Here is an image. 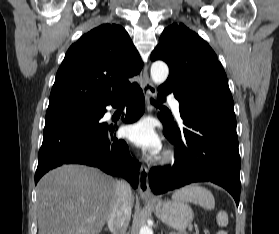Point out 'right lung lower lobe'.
Returning a JSON list of instances; mask_svg holds the SVG:
<instances>
[{
  "label": "right lung lower lobe",
  "mask_w": 279,
  "mask_h": 234,
  "mask_svg": "<svg viewBox=\"0 0 279 234\" xmlns=\"http://www.w3.org/2000/svg\"><path fill=\"white\" fill-rule=\"evenodd\" d=\"M127 102L126 123L137 121L144 113V95L138 84H134L116 101ZM106 112V106L99 108L93 118L57 122L44 128L43 143L38 154L35 184L50 169L63 164L78 163L98 167L111 175L126 178L137 188L139 167L129 155L128 146L119 140L114 132L115 125L99 120Z\"/></svg>",
  "instance_id": "98d812e1"
}]
</instances>
